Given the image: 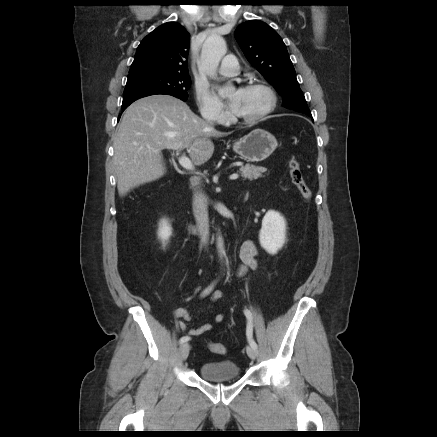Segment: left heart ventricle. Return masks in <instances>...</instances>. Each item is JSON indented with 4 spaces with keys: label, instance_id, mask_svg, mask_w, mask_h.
<instances>
[{
    "label": "left heart ventricle",
    "instance_id": "left-heart-ventricle-1",
    "mask_svg": "<svg viewBox=\"0 0 437 437\" xmlns=\"http://www.w3.org/2000/svg\"><path fill=\"white\" fill-rule=\"evenodd\" d=\"M234 93L231 94V98ZM267 102V94L262 89L243 88L234 113L241 117L255 116L266 107Z\"/></svg>",
    "mask_w": 437,
    "mask_h": 437
}]
</instances>
